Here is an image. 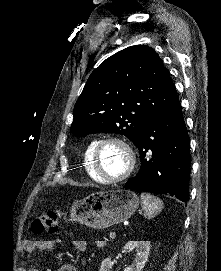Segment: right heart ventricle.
Wrapping results in <instances>:
<instances>
[{"instance_id":"obj_1","label":"right heart ventricle","mask_w":221,"mask_h":271,"mask_svg":"<svg viewBox=\"0 0 221 271\" xmlns=\"http://www.w3.org/2000/svg\"><path fill=\"white\" fill-rule=\"evenodd\" d=\"M93 140L94 138H90L84 146L83 159H86L84 161L85 172H89L90 179H97V183H107L108 179L103 178V175L98 174V171H96V167H99V162H97V158L93 154L97 148L96 144H91Z\"/></svg>"}]
</instances>
